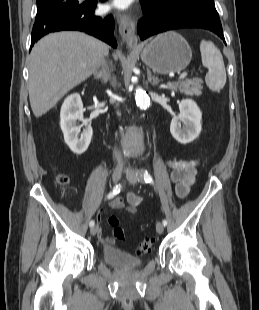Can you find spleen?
I'll return each instance as SVG.
<instances>
[{
  "label": "spleen",
  "instance_id": "1",
  "mask_svg": "<svg viewBox=\"0 0 259 310\" xmlns=\"http://www.w3.org/2000/svg\"><path fill=\"white\" fill-rule=\"evenodd\" d=\"M200 52L203 66L209 69L205 82L210 90L220 91L226 83V70L220 50L211 41L202 40Z\"/></svg>",
  "mask_w": 259,
  "mask_h": 310
}]
</instances>
